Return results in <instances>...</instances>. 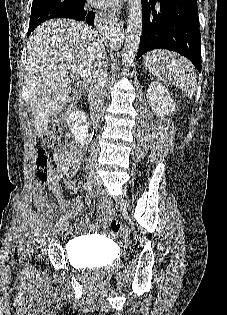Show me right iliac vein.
Here are the masks:
<instances>
[{
	"instance_id": "1",
	"label": "right iliac vein",
	"mask_w": 227,
	"mask_h": 315,
	"mask_svg": "<svg viewBox=\"0 0 227 315\" xmlns=\"http://www.w3.org/2000/svg\"><path fill=\"white\" fill-rule=\"evenodd\" d=\"M87 177L88 180L92 183H95L98 180V175L96 171L92 169L88 172ZM68 226H69L68 222H62L59 226L58 231L63 233L68 229Z\"/></svg>"
}]
</instances>
